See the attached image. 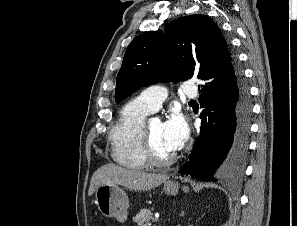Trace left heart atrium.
Instances as JSON below:
<instances>
[{
    "mask_svg": "<svg viewBox=\"0 0 297 226\" xmlns=\"http://www.w3.org/2000/svg\"><path fill=\"white\" fill-rule=\"evenodd\" d=\"M163 138L166 147L172 152L183 147L187 139V127L179 114H172L163 123Z\"/></svg>",
    "mask_w": 297,
    "mask_h": 226,
    "instance_id": "obj_1",
    "label": "left heart atrium"
}]
</instances>
